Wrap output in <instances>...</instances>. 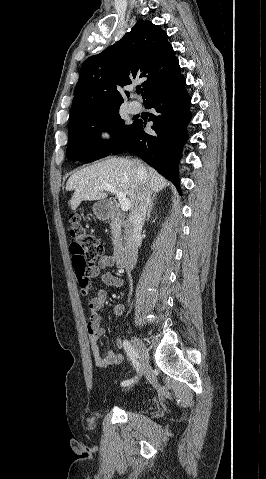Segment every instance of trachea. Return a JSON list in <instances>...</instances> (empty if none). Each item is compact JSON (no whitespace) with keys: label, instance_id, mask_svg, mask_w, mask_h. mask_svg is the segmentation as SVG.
I'll return each mask as SVG.
<instances>
[{"label":"trachea","instance_id":"trachea-1","mask_svg":"<svg viewBox=\"0 0 266 479\" xmlns=\"http://www.w3.org/2000/svg\"><path fill=\"white\" fill-rule=\"evenodd\" d=\"M142 92H143V89H141V88H137V89H136V93H137V94H141Z\"/></svg>","mask_w":266,"mask_h":479}]
</instances>
